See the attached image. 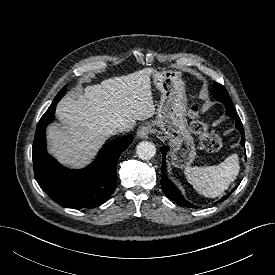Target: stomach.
I'll return each instance as SVG.
<instances>
[{
	"mask_svg": "<svg viewBox=\"0 0 275 275\" xmlns=\"http://www.w3.org/2000/svg\"><path fill=\"white\" fill-rule=\"evenodd\" d=\"M153 83L161 93L154 126L160 128L164 138L173 146L171 163L182 168L196 157L194 139L188 128L187 99L184 82L177 71L153 73Z\"/></svg>",
	"mask_w": 275,
	"mask_h": 275,
	"instance_id": "1",
	"label": "stomach"
}]
</instances>
